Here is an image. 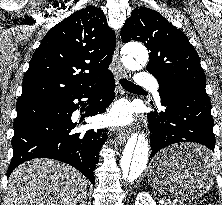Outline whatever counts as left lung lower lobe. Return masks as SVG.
I'll return each mask as SVG.
<instances>
[{"mask_svg": "<svg viewBox=\"0 0 222 205\" xmlns=\"http://www.w3.org/2000/svg\"><path fill=\"white\" fill-rule=\"evenodd\" d=\"M158 91L165 109L161 112L155 109V112L148 114L152 150L149 161L169 145L195 142L207 149L192 153L186 160L200 165L212 164L215 135L209 96L195 89L168 83L159 84Z\"/></svg>", "mask_w": 222, "mask_h": 205, "instance_id": "1", "label": "left lung lower lobe"}]
</instances>
